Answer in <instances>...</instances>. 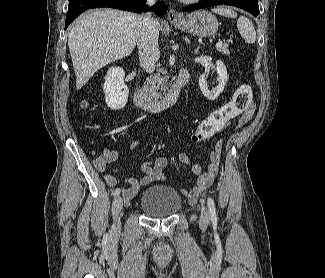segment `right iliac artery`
<instances>
[{"label":"right iliac artery","instance_id":"82829eb1","mask_svg":"<svg viewBox=\"0 0 325 278\" xmlns=\"http://www.w3.org/2000/svg\"><path fill=\"white\" fill-rule=\"evenodd\" d=\"M120 194V189H116L113 193L114 196H118Z\"/></svg>","mask_w":325,"mask_h":278}]
</instances>
